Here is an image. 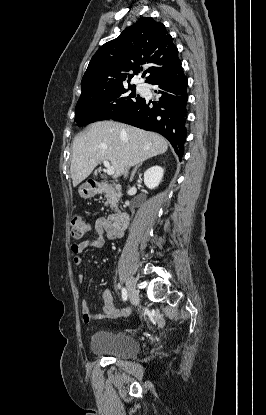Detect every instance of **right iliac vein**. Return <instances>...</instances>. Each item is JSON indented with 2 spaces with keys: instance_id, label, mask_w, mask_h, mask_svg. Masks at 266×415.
<instances>
[{
  "instance_id": "obj_1",
  "label": "right iliac vein",
  "mask_w": 266,
  "mask_h": 415,
  "mask_svg": "<svg viewBox=\"0 0 266 415\" xmlns=\"http://www.w3.org/2000/svg\"><path fill=\"white\" fill-rule=\"evenodd\" d=\"M126 283L131 303L137 304L139 300V291L137 289L135 280L132 277H128Z\"/></svg>"
}]
</instances>
